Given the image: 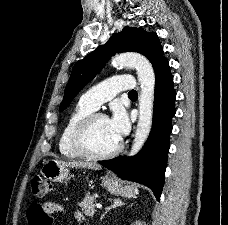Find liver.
<instances>
[{"mask_svg": "<svg viewBox=\"0 0 228 225\" xmlns=\"http://www.w3.org/2000/svg\"><path fill=\"white\" fill-rule=\"evenodd\" d=\"M61 163H64V161H61ZM64 165H69V167H83V169H95L96 165L95 163H64ZM99 167V165H98Z\"/></svg>", "mask_w": 228, "mask_h": 225, "instance_id": "obj_1", "label": "liver"}]
</instances>
